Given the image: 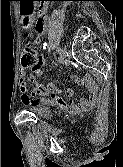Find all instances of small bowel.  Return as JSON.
<instances>
[{
	"instance_id": "small-bowel-1",
	"label": "small bowel",
	"mask_w": 123,
	"mask_h": 167,
	"mask_svg": "<svg viewBox=\"0 0 123 167\" xmlns=\"http://www.w3.org/2000/svg\"><path fill=\"white\" fill-rule=\"evenodd\" d=\"M19 5L22 13V19H29V17H31V13L34 12V1H19ZM21 24H28V20H21ZM42 32L43 28L41 31H38V35L40 36ZM44 63V58H41L39 66L32 69L33 73L36 75H41ZM71 79L74 83L88 90V96L81 98L77 103L73 102L72 100L66 101L62 99L60 96L61 88L52 83L38 85L35 91L29 95L26 84V73L24 69H21L19 73L21 100L24 104L29 105H61L68 106L72 110L76 111H85L90 109L95 104L97 98L98 87L96 83L89 76L81 79L78 76L73 75L71 76ZM72 94V90H68L66 92L68 97H71Z\"/></svg>"
}]
</instances>
